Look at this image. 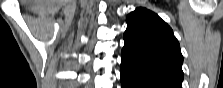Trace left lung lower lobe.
<instances>
[{
    "instance_id": "left-lung-lower-lobe-1",
    "label": "left lung lower lobe",
    "mask_w": 223,
    "mask_h": 88,
    "mask_svg": "<svg viewBox=\"0 0 223 88\" xmlns=\"http://www.w3.org/2000/svg\"><path fill=\"white\" fill-rule=\"evenodd\" d=\"M122 88H181V86L144 73H139L121 65Z\"/></svg>"
}]
</instances>
